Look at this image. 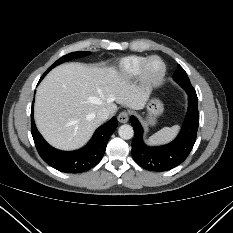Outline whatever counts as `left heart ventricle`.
<instances>
[{
    "mask_svg": "<svg viewBox=\"0 0 233 233\" xmlns=\"http://www.w3.org/2000/svg\"><path fill=\"white\" fill-rule=\"evenodd\" d=\"M161 68H162V65L158 60H152L149 64V72L153 76L159 74L161 71Z\"/></svg>",
    "mask_w": 233,
    "mask_h": 233,
    "instance_id": "left-heart-ventricle-1",
    "label": "left heart ventricle"
}]
</instances>
